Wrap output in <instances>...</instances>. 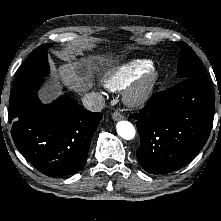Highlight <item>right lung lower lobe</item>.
<instances>
[{"label":"right lung lower lobe","instance_id":"obj_1","mask_svg":"<svg viewBox=\"0 0 221 221\" xmlns=\"http://www.w3.org/2000/svg\"><path fill=\"white\" fill-rule=\"evenodd\" d=\"M43 81L12 91L8 113L11 134L18 150L40 172L52 177L71 175L85 165L103 116L85 110L66 95L49 105L42 104L37 90Z\"/></svg>","mask_w":221,"mask_h":221}]
</instances>
